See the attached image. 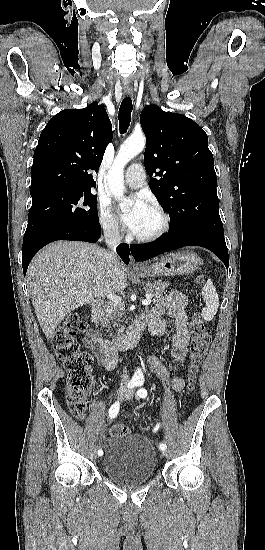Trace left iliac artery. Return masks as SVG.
<instances>
[{
    "label": "left iliac artery",
    "instance_id": "44dca946",
    "mask_svg": "<svg viewBox=\"0 0 265 550\" xmlns=\"http://www.w3.org/2000/svg\"><path fill=\"white\" fill-rule=\"evenodd\" d=\"M144 384V380L143 379H139L137 381V384L136 386L140 387L139 390L137 391V395L140 397V398H145L147 396V390L145 388H141V386ZM160 427L159 424L156 425V427L154 428V432H156L158 430V428ZM159 448L161 450H165L167 448L166 444H160L159 445Z\"/></svg>",
    "mask_w": 265,
    "mask_h": 550
}]
</instances>
